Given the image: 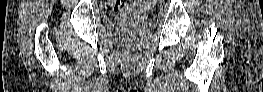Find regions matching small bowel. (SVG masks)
Wrapping results in <instances>:
<instances>
[{
  "label": "small bowel",
  "mask_w": 263,
  "mask_h": 92,
  "mask_svg": "<svg viewBox=\"0 0 263 92\" xmlns=\"http://www.w3.org/2000/svg\"><path fill=\"white\" fill-rule=\"evenodd\" d=\"M124 8H128V5H127V4H125Z\"/></svg>",
  "instance_id": "obj_1"
}]
</instances>
